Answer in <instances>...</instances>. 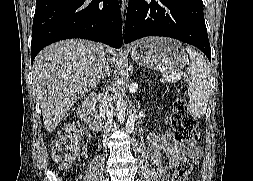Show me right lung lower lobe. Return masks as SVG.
I'll return each mask as SVG.
<instances>
[{"mask_svg":"<svg viewBox=\"0 0 253 181\" xmlns=\"http://www.w3.org/2000/svg\"><path fill=\"white\" fill-rule=\"evenodd\" d=\"M69 38L120 48L122 25L118 0H36L31 62L45 46Z\"/></svg>","mask_w":253,"mask_h":181,"instance_id":"1","label":"right lung lower lobe"}]
</instances>
